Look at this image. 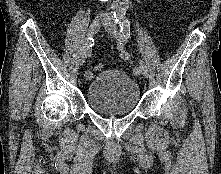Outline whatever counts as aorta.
Listing matches in <instances>:
<instances>
[{
  "instance_id": "1",
  "label": "aorta",
  "mask_w": 221,
  "mask_h": 174,
  "mask_svg": "<svg viewBox=\"0 0 221 174\" xmlns=\"http://www.w3.org/2000/svg\"><path fill=\"white\" fill-rule=\"evenodd\" d=\"M129 0H112L111 8L116 19H123Z\"/></svg>"
}]
</instances>
